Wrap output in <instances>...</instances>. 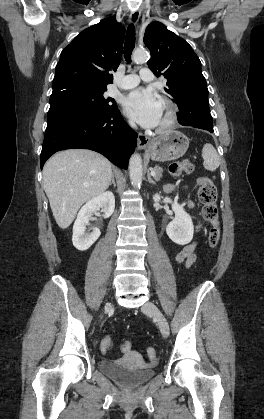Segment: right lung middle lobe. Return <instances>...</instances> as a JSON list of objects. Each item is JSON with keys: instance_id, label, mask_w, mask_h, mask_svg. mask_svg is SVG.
I'll use <instances>...</instances> for the list:
<instances>
[{"instance_id": "1", "label": "right lung middle lobe", "mask_w": 264, "mask_h": 419, "mask_svg": "<svg viewBox=\"0 0 264 419\" xmlns=\"http://www.w3.org/2000/svg\"><path fill=\"white\" fill-rule=\"evenodd\" d=\"M106 88L70 87L53 93L50 98L48 120L67 109H83L92 111H111L117 109L113 98L103 94Z\"/></svg>"}]
</instances>
